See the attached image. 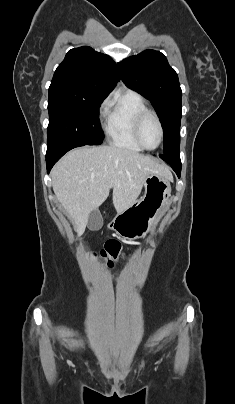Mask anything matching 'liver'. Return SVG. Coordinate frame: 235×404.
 Returning a JSON list of instances; mask_svg holds the SVG:
<instances>
[{"label": "liver", "mask_w": 235, "mask_h": 404, "mask_svg": "<svg viewBox=\"0 0 235 404\" xmlns=\"http://www.w3.org/2000/svg\"><path fill=\"white\" fill-rule=\"evenodd\" d=\"M152 174L172 179L169 168L149 156L103 145L71 150L53 167L51 178L58 201L80 235L90 212L107 199L110 189L120 213L137 201Z\"/></svg>", "instance_id": "1"}]
</instances>
